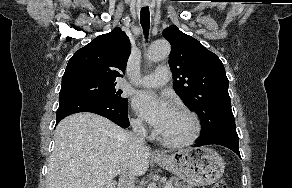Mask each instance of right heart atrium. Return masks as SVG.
I'll use <instances>...</instances> for the list:
<instances>
[{
	"label": "right heart atrium",
	"mask_w": 292,
	"mask_h": 188,
	"mask_svg": "<svg viewBox=\"0 0 292 188\" xmlns=\"http://www.w3.org/2000/svg\"><path fill=\"white\" fill-rule=\"evenodd\" d=\"M131 124L133 126V128L137 131H144L145 129V125L143 120L140 117H135L131 119Z\"/></svg>",
	"instance_id": "right-heart-atrium-1"
}]
</instances>
